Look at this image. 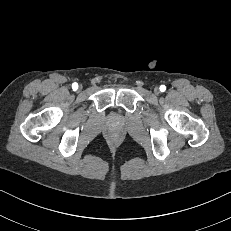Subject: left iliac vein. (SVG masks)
Masks as SVG:
<instances>
[{
  "mask_svg": "<svg viewBox=\"0 0 231 231\" xmlns=\"http://www.w3.org/2000/svg\"><path fill=\"white\" fill-rule=\"evenodd\" d=\"M154 93H155L156 95H158V94L160 93V90H159L158 87H155V88H154Z\"/></svg>",
  "mask_w": 231,
  "mask_h": 231,
  "instance_id": "obj_1",
  "label": "left iliac vein"
}]
</instances>
